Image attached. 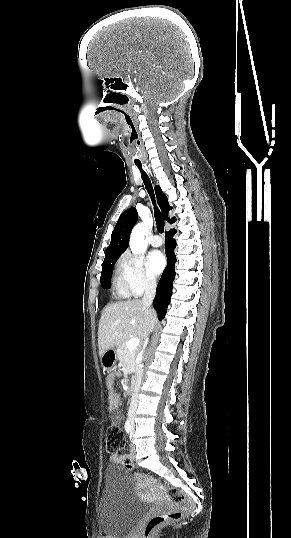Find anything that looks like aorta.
Listing matches in <instances>:
<instances>
[{"mask_svg": "<svg viewBox=\"0 0 291 538\" xmlns=\"http://www.w3.org/2000/svg\"><path fill=\"white\" fill-rule=\"evenodd\" d=\"M144 233L145 229L142 224H137L131 232L129 244L131 251L135 254L143 252Z\"/></svg>", "mask_w": 291, "mask_h": 538, "instance_id": "762f6f07", "label": "aorta"}]
</instances>
